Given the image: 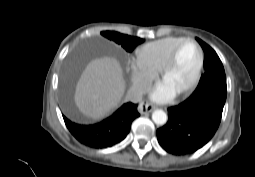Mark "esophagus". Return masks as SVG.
<instances>
[{
    "mask_svg": "<svg viewBox=\"0 0 255 177\" xmlns=\"http://www.w3.org/2000/svg\"><path fill=\"white\" fill-rule=\"evenodd\" d=\"M154 109H155V106L145 101H142L138 106V111L140 114L149 113Z\"/></svg>",
    "mask_w": 255,
    "mask_h": 177,
    "instance_id": "1",
    "label": "esophagus"
}]
</instances>
